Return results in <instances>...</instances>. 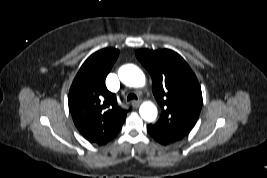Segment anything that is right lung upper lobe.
Here are the masks:
<instances>
[{
  "mask_svg": "<svg viewBox=\"0 0 267 178\" xmlns=\"http://www.w3.org/2000/svg\"><path fill=\"white\" fill-rule=\"evenodd\" d=\"M118 55L115 48L92 54L79 69L69 91V109L75 126L85 139L98 145L108 143L119 133L127 114L105 85Z\"/></svg>",
  "mask_w": 267,
  "mask_h": 178,
  "instance_id": "1",
  "label": "right lung upper lobe"
}]
</instances>
